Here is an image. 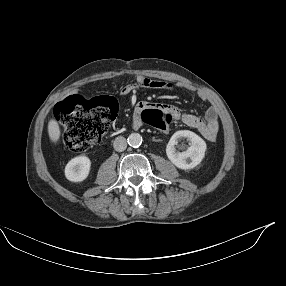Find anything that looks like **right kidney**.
Wrapping results in <instances>:
<instances>
[{
    "instance_id": "obj_1",
    "label": "right kidney",
    "mask_w": 286,
    "mask_h": 286,
    "mask_svg": "<svg viewBox=\"0 0 286 286\" xmlns=\"http://www.w3.org/2000/svg\"><path fill=\"white\" fill-rule=\"evenodd\" d=\"M91 161L86 156H78L71 159L65 167V176L69 181L81 182L90 172Z\"/></svg>"
}]
</instances>
